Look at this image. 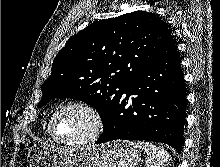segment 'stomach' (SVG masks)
Instances as JSON below:
<instances>
[{"instance_id":"stomach-1","label":"stomach","mask_w":220,"mask_h":167,"mask_svg":"<svg viewBox=\"0 0 220 167\" xmlns=\"http://www.w3.org/2000/svg\"><path fill=\"white\" fill-rule=\"evenodd\" d=\"M27 160L30 167H139L141 151L130 141L82 148L35 144L28 149Z\"/></svg>"}]
</instances>
